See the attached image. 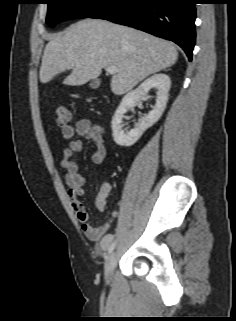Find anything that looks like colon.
<instances>
[{
	"label": "colon",
	"instance_id": "colon-1",
	"mask_svg": "<svg viewBox=\"0 0 236 321\" xmlns=\"http://www.w3.org/2000/svg\"><path fill=\"white\" fill-rule=\"evenodd\" d=\"M72 121V113L66 107L57 108V123L59 126H65Z\"/></svg>",
	"mask_w": 236,
	"mask_h": 321
}]
</instances>
